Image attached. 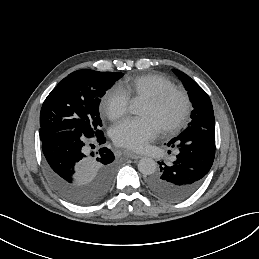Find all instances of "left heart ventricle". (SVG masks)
Listing matches in <instances>:
<instances>
[{
	"mask_svg": "<svg viewBox=\"0 0 259 259\" xmlns=\"http://www.w3.org/2000/svg\"><path fill=\"white\" fill-rule=\"evenodd\" d=\"M182 110V102L179 97H174L167 101L163 106L157 108L151 105L146 99L141 116L154 118L162 127L173 123Z\"/></svg>",
	"mask_w": 259,
	"mask_h": 259,
	"instance_id": "obj_1",
	"label": "left heart ventricle"
}]
</instances>
